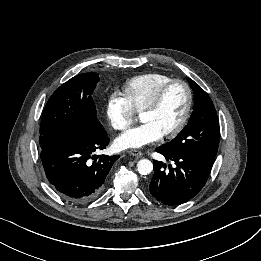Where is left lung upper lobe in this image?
<instances>
[{"instance_id":"left-lung-upper-lobe-1","label":"left lung upper lobe","mask_w":261,"mask_h":261,"mask_svg":"<svg viewBox=\"0 0 261 261\" xmlns=\"http://www.w3.org/2000/svg\"><path fill=\"white\" fill-rule=\"evenodd\" d=\"M194 92V109L185 128L170 142L161 145L171 151H184L208 165H213L219 145V120L208 94L187 78Z\"/></svg>"}]
</instances>
